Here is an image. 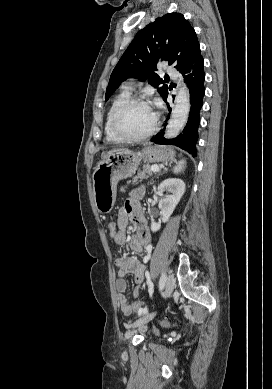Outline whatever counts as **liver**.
I'll list each match as a JSON object with an SVG mask.
<instances>
[{
    "instance_id": "1",
    "label": "liver",
    "mask_w": 272,
    "mask_h": 389,
    "mask_svg": "<svg viewBox=\"0 0 272 389\" xmlns=\"http://www.w3.org/2000/svg\"><path fill=\"white\" fill-rule=\"evenodd\" d=\"M124 150H126V149H113V150H111V151H109V152H107V154L104 156V159L106 158V157H108L109 155H112L113 153H115V152H120V151H124Z\"/></svg>"
}]
</instances>
